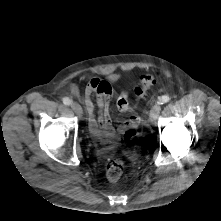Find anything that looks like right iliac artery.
I'll list each match as a JSON object with an SVG mask.
<instances>
[{"label": "right iliac artery", "instance_id": "obj_1", "mask_svg": "<svg viewBox=\"0 0 221 221\" xmlns=\"http://www.w3.org/2000/svg\"><path fill=\"white\" fill-rule=\"evenodd\" d=\"M63 103L65 104V105H71L72 104V100H70L69 98H63Z\"/></svg>", "mask_w": 221, "mask_h": 221}]
</instances>
